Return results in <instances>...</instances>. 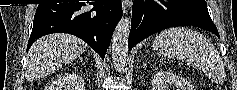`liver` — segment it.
Here are the masks:
<instances>
[{"instance_id": "obj_1", "label": "liver", "mask_w": 237, "mask_h": 90, "mask_svg": "<svg viewBox=\"0 0 237 90\" xmlns=\"http://www.w3.org/2000/svg\"><path fill=\"white\" fill-rule=\"evenodd\" d=\"M87 44L70 34H49L39 38L27 54V74L31 78L48 76L58 68L79 58L86 52Z\"/></svg>"}]
</instances>
